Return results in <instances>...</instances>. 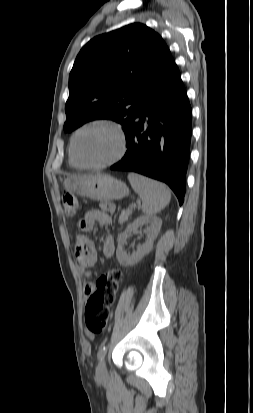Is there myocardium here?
<instances>
[{
	"label": "myocardium",
	"mask_w": 253,
	"mask_h": 413,
	"mask_svg": "<svg viewBox=\"0 0 253 413\" xmlns=\"http://www.w3.org/2000/svg\"><path fill=\"white\" fill-rule=\"evenodd\" d=\"M94 126H105L109 128L110 130H112L114 134L116 135L118 148H117L116 153L105 161H102L96 164H85L79 161L78 158L76 157L75 142H76L78 135L81 132H83L84 130L88 128L94 127ZM126 149H127V141H126V136L123 131V128L118 122L112 119H108V118H96L81 125L73 133L71 140H70V146H69V152H70V157L72 161L76 164V166L80 168H84V169H102V168L111 166L123 158V156L126 153Z\"/></svg>",
	"instance_id": "1"
}]
</instances>
